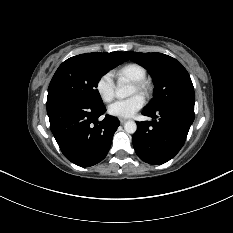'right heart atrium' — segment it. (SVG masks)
<instances>
[{
	"instance_id": "right-heart-atrium-1",
	"label": "right heart atrium",
	"mask_w": 233,
	"mask_h": 233,
	"mask_svg": "<svg viewBox=\"0 0 233 233\" xmlns=\"http://www.w3.org/2000/svg\"><path fill=\"white\" fill-rule=\"evenodd\" d=\"M95 90L105 103L111 102L115 97V83L110 73L102 74L95 83Z\"/></svg>"
}]
</instances>
